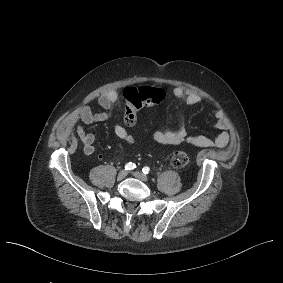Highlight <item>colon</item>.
Returning a JSON list of instances; mask_svg holds the SVG:
<instances>
[{
  "instance_id": "colon-1",
  "label": "colon",
  "mask_w": 283,
  "mask_h": 283,
  "mask_svg": "<svg viewBox=\"0 0 283 283\" xmlns=\"http://www.w3.org/2000/svg\"><path fill=\"white\" fill-rule=\"evenodd\" d=\"M126 100L124 121L133 125L137 120L136 111L144 106L159 104L164 99V92L148 85L131 86L124 90ZM190 163V156L186 151H177L171 159V164L176 168H183Z\"/></svg>"
}]
</instances>
